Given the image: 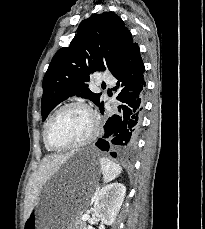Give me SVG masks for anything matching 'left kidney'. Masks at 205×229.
<instances>
[{
    "mask_svg": "<svg viewBox=\"0 0 205 229\" xmlns=\"http://www.w3.org/2000/svg\"><path fill=\"white\" fill-rule=\"evenodd\" d=\"M126 187L118 182L103 187L94 202V215L106 225H112L122 206Z\"/></svg>",
    "mask_w": 205,
    "mask_h": 229,
    "instance_id": "obj_1",
    "label": "left kidney"
}]
</instances>
